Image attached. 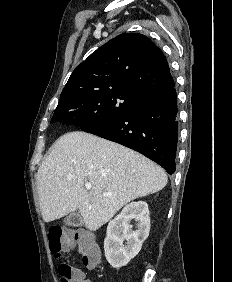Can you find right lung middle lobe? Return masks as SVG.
Instances as JSON below:
<instances>
[{
	"instance_id": "right-lung-middle-lobe-1",
	"label": "right lung middle lobe",
	"mask_w": 232,
	"mask_h": 282,
	"mask_svg": "<svg viewBox=\"0 0 232 282\" xmlns=\"http://www.w3.org/2000/svg\"><path fill=\"white\" fill-rule=\"evenodd\" d=\"M144 97L134 91L113 89L75 96L58 103L51 123L82 128L111 121L135 109Z\"/></svg>"
}]
</instances>
